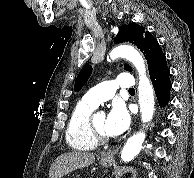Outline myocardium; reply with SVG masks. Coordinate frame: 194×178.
<instances>
[{
  "label": "myocardium",
  "instance_id": "1",
  "mask_svg": "<svg viewBox=\"0 0 194 178\" xmlns=\"http://www.w3.org/2000/svg\"><path fill=\"white\" fill-rule=\"evenodd\" d=\"M93 118H94V115H90V117H89V127H90V130H91V133H92L94 139L96 140L97 143L107 142L108 141V136L97 129V127L94 124Z\"/></svg>",
  "mask_w": 194,
  "mask_h": 178
}]
</instances>
